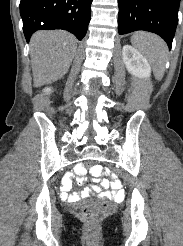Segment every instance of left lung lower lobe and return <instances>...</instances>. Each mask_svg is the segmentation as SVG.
Wrapping results in <instances>:
<instances>
[{"label":"left lung lower lobe","mask_w":183,"mask_h":246,"mask_svg":"<svg viewBox=\"0 0 183 246\" xmlns=\"http://www.w3.org/2000/svg\"><path fill=\"white\" fill-rule=\"evenodd\" d=\"M180 0H118L120 35L144 30L161 36L171 48Z\"/></svg>","instance_id":"1"}]
</instances>
